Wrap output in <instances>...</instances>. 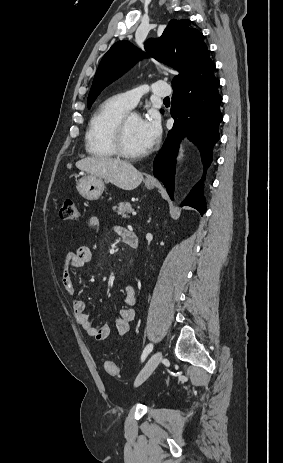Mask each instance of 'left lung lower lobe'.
Masks as SVG:
<instances>
[{
    "label": "left lung lower lobe",
    "instance_id": "0a47b994",
    "mask_svg": "<svg viewBox=\"0 0 283 463\" xmlns=\"http://www.w3.org/2000/svg\"><path fill=\"white\" fill-rule=\"evenodd\" d=\"M212 60L196 68L186 79L173 86L171 115L175 122L169 131L162 152L155 158L154 175L165 185L173 199L175 158L180 138L187 136L197 146L202 164L212 162V148L219 140L222 97L218 93L220 81L214 75ZM201 181L192 189L181 206H191L201 215L205 213V199Z\"/></svg>",
    "mask_w": 283,
    "mask_h": 463
}]
</instances>
